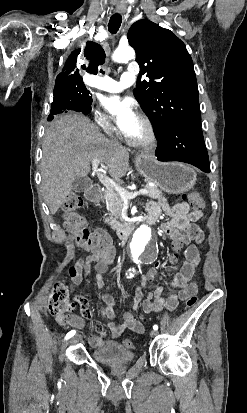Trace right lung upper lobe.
<instances>
[{"label": "right lung upper lobe", "instance_id": "1", "mask_svg": "<svg viewBox=\"0 0 247 413\" xmlns=\"http://www.w3.org/2000/svg\"><path fill=\"white\" fill-rule=\"evenodd\" d=\"M80 51L81 49H77L71 54L62 72L57 76L56 83L82 81L79 70H75L77 62L76 57L80 53ZM83 57L86 61V64L82 65V69L93 74L97 73L98 66L103 64L105 61V53L103 48L99 44L92 41H88L86 43Z\"/></svg>", "mask_w": 247, "mask_h": 413}]
</instances>
